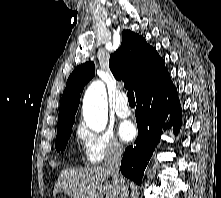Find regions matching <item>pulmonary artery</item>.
<instances>
[{
	"label": "pulmonary artery",
	"mask_w": 221,
	"mask_h": 198,
	"mask_svg": "<svg viewBox=\"0 0 221 198\" xmlns=\"http://www.w3.org/2000/svg\"><path fill=\"white\" fill-rule=\"evenodd\" d=\"M115 111H116L117 116H119L120 118H127L131 115V109L128 105V99L125 94L119 95L117 99Z\"/></svg>",
	"instance_id": "1"
}]
</instances>
